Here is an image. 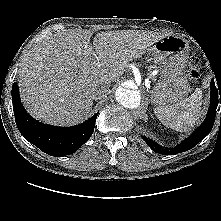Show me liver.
Listing matches in <instances>:
<instances>
[{"instance_id":"1","label":"liver","mask_w":221,"mask_h":221,"mask_svg":"<svg viewBox=\"0 0 221 221\" xmlns=\"http://www.w3.org/2000/svg\"><path fill=\"white\" fill-rule=\"evenodd\" d=\"M163 35L138 30L65 31L46 37L24 57L18 71L20 97L36 119L72 125L90 112L96 89L118 80L130 61ZM102 99V98H101Z\"/></svg>"}]
</instances>
